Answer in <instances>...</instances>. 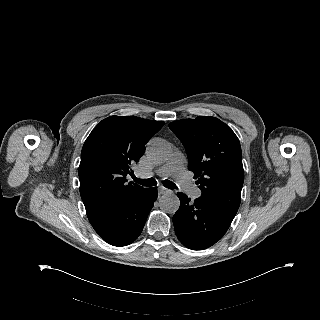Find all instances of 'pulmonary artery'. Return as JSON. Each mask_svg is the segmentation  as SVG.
Listing matches in <instances>:
<instances>
[{
    "instance_id": "obj_1",
    "label": "pulmonary artery",
    "mask_w": 320,
    "mask_h": 320,
    "mask_svg": "<svg viewBox=\"0 0 320 320\" xmlns=\"http://www.w3.org/2000/svg\"><path fill=\"white\" fill-rule=\"evenodd\" d=\"M155 173L161 177H174L180 188L193 198H199L202 194L201 190L191 183L185 171V156L179 151L174 152L169 160ZM147 176V174H141V177Z\"/></svg>"
}]
</instances>
